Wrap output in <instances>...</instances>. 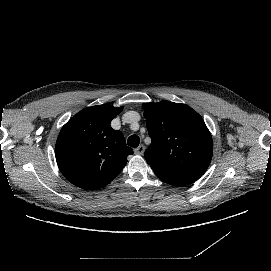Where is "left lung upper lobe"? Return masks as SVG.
<instances>
[{"mask_svg": "<svg viewBox=\"0 0 271 271\" xmlns=\"http://www.w3.org/2000/svg\"><path fill=\"white\" fill-rule=\"evenodd\" d=\"M152 139L145 151L148 164L203 175L213 154L211 134L202 117L181 103L143 104Z\"/></svg>", "mask_w": 271, "mask_h": 271, "instance_id": "1", "label": "left lung upper lobe"}]
</instances>
